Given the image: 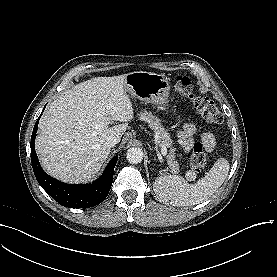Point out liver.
<instances>
[{
    "mask_svg": "<svg viewBox=\"0 0 277 277\" xmlns=\"http://www.w3.org/2000/svg\"><path fill=\"white\" fill-rule=\"evenodd\" d=\"M127 74L96 77L55 99L42 115L35 140L43 169L67 183H85L101 170L110 154L109 136L120 139L133 119L124 88ZM114 121L122 124L108 128Z\"/></svg>",
    "mask_w": 277,
    "mask_h": 277,
    "instance_id": "1",
    "label": "liver"
}]
</instances>
